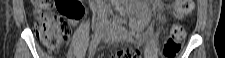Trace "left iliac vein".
<instances>
[{"label":"left iliac vein","mask_w":225,"mask_h":58,"mask_svg":"<svg viewBox=\"0 0 225 58\" xmlns=\"http://www.w3.org/2000/svg\"><path fill=\"white\" fill-rule=\"evenodd\" d=\"M116 23H119V20L114 21L113 23L108 22L109 28L107 36L114 42H120L124 39L122 32L119 29V26H116Z\"/></svg>","instance_id":"obj_1"}]
</instances>
